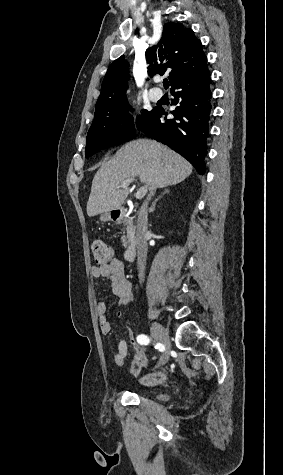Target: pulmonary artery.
Returning a JSON list of instances; mask_svg holds the SVG:
<instances>
[{"mask_svg": "<svg viewBox=\"0 0 283 475\" xmlns=\"http://www.w3.org/2000/svg\"><path fill=\"white\" fill-rule=\"evenodd\" d=\"M150 92L152 96H161L163 91L161 87H152ZM153 101H157V99H153Z\"/></svg>", "mask_w": 283, "mask_h": 475, "instance_id": "e3ab8cb5", "label": "pulmonary artery"}]
</instances>
